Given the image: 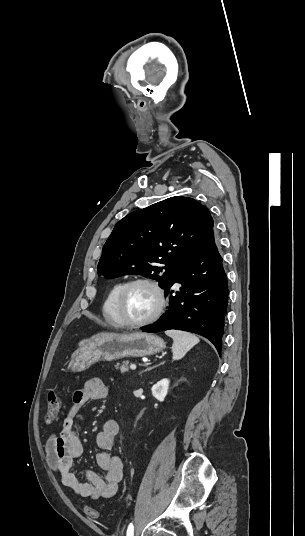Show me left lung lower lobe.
I'll return each instance as SVG.
<instances>
[{"label": "left lung lower lobe", "mask_w": 305, "mask_h": 536, "mask_svg": "<svg viewBox=\"0 0 305 536\" xmlns=\"http://www.w3.org/2000/svg\"><path fill=\"white\" fill-rule=\"evenodd\" d=\"M176 282L182 285L180 290L170 291ZM165 288L169 294L168 310L142 331L177 329L197 333L209 339L221 354L229 290L214 234Z\"/></svg>", "instance_id": "obj_1"}]
</instances>
